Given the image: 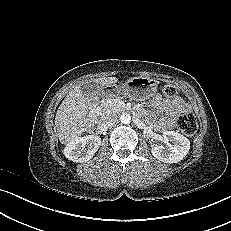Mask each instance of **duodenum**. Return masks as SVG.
Listing matches in <instances>:
<instances>
[{"instance_id": "duodenum-1", "label": "duodenum", "mask_w": 231, "mask_h": 231, "mask_svg": "<svg viewBox=\"0 0 231 231\" xmlns=\"http://www.w3.org/2000/svg\"><path fill=\"white\" fill-rule=\"evenodd\" d=\"M99 104V98L96 96H93L89 99V106L91 109L90 117L92 120H95L97 118V106Z\"/></svg>"}]
</instances>
